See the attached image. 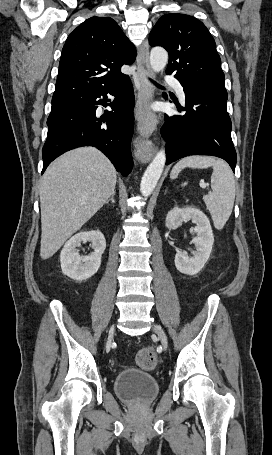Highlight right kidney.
I'll return each mask as SVG.
<instances>
[{"mask_svg":"<svg viewBox=\"0 0 272 455\" xmlns=\"http://www.w3.org/2000/svg\"><path fill=\"white\" fill-rule=\"evenodd\" d=\"M92 242L94 252L89 256H80L76 247L81 242ZM106 249V240L104 235L98 230L80 232L68 240L61 253L60 262L63 274L68 277L82 281L92 277L99 269L101 257Z\"/></svg>","mask_w":272,"mask_h":455,"instance_id":"right-kidney-1","label":"right kidney"}]
</instances>
